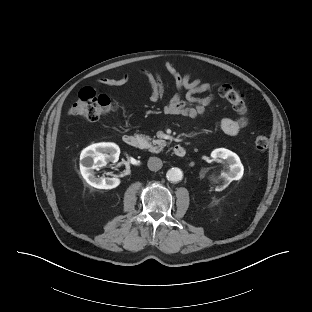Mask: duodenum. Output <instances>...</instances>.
Listing matches in <instances>:
<instances>
[{"instance_id":"410a0bca","label":"duodenum","mask_w":312,"mask_h":312,"mask_svg":"<svg viewBox=\"0 0 312 312\" xmlns=\"http://www.w3.org/2000/svg\"><path fill=\"white\" fill-rule=\"evenodd\" d=\"M123 143L129 147H135L138 145L137 138L132 134H126L123 136ZM173 153L178 157H183L186 154V149L182 145H175L173 147Z\"/></svg>"}]
</instances>
